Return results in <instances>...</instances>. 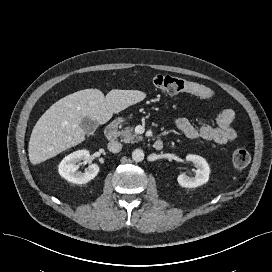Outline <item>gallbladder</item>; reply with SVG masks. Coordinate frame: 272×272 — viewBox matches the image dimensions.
<instances>
[{"instance_id":"gallbladder-1","label":"gallbladder","mask_w":272,"mask_h":272,"mask_svg":"<svg viewBox=\"0 0 272 272\" xmlns=\"http://www.w3.org/2000/svg\"><path fill=\"white\" fill-rule=\"evenodd\" d=\"M81 127L87 134H94L98 127V123L88 117H85L81 122Z\"/></svg>"}]
</instances>
